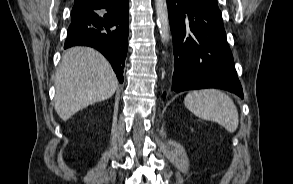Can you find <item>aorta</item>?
<instances>
[{"label":"aorta","instance_id":"1","mask_svg":"<svg viewBox=\"0 0 293 184\" xmlns=\"http://www.w3.org/2000/svg\"><path fill=\"white\" fill-rule=\"evenodd\" d=\"M155 6L157 14V24L160 29L161 38L164 41H169L170 27L166 0H155Z\"/></svg>","mask_w":293,"mask_h":184}]
</instances>
